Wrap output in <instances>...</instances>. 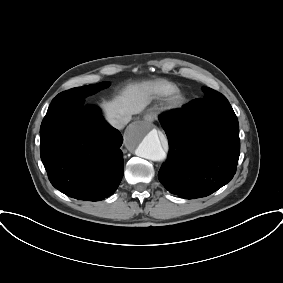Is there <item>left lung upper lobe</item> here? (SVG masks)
Here are the masks:
<instances>
[{
  "label": "left lung upper lobe",
  "instance_id": "obj_1",
  "mask_svg": "<svg viewBox=\"0 0 283 283\" xmlns=\"http://www.w3.org/2000/svg\"><path fill=\"white\" fill-rule=\"evenodd\" d=\"M203 91H204L205 95H210V94L216 92L215 90H213L211 88H203ZM230 126L235 127V128H239L238 119H237L236 115L233 118V120L230 122Z\"/></svg>",
  "mask_w": 283,
  "mask_h": 283
}]
</instances>
